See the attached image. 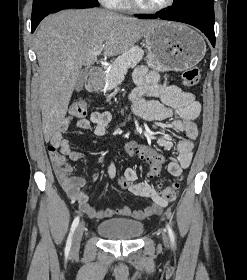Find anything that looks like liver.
<instances>
[{
  "label": "liver",
  "mask_w": 247,
  "mask_h": 280,
  "mask_svg": "<svg viewBox=\"0 0 247 280\" xmlns=\"http://www.w3.org/2000/svg\"><path fill=\"white\" fill-rule=\"evenodd\" d=\"M160 23L99 8L61 11L40 23L35 33V51L40 67L39 106L46 141L65 118L81 67L96 61L97 56L91 52L103 46L104 56H117Z\"/></svg>",
  "instance_id": "6515ba94"
}]
</instances>
